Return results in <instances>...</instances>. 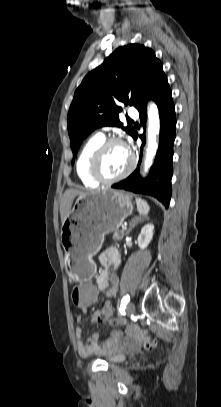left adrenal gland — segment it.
<instances>
[{
  "label": "left adrenal gland",
  "mask_w": 221,
  "mask_h": 407,
  "mask_svg": "<svg viewBox=\"0 0 221 407\" xmlns=\"http://www.w3.org/2000/svg\"><path fill=\"white\" fill-rule=\"evenodd\" d=\"M143 221L142 218L140 217H134L131 222H130V226L129 229L127 231V234L132 230V228H134L139 222Z\"/></svg>",
  "instance_id": "obj_1"
}]
</instances>
